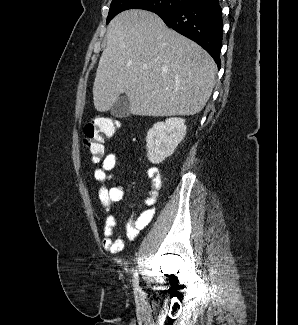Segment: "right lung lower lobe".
<instances>
[{"instance_id":"obj_1","label":"right lung lower lobe","mask_w":298,"mask_h":325,"mask_svg":"<svg viewBox=\"0 0 298 325\" xmlns=\"http://www.w3.org/2000/svg\"><path fill=\"white\" fill-rule=\"evenodd\" d=\"M155 13L168 27L203 47L220 68L223 22L218 0H191L176 10Z\"/></svg>"}]
</instances>
